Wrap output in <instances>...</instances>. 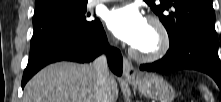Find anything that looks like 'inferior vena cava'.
Returning a JSON list of instances; mask_svg holds the SVG:
<instances>
[{
  "instance_id": "inferior-vena-cava-1",
  "label": "inferior vena cava",
  "mask_w": 221,
  "mask_h": 102,
  "mask_svg": "<svg viewBox=\"0 0 221 102\" xmlns=\"http://www.w3.org/2000/svg\"><path fill=\"white\" fill-rule=\"evenodd\" d=\"M92 66L96 74V92L94 102H108L107 87L110 74L106 56L103 54L97 57Z\"/></svg>"
}]
</instances>
